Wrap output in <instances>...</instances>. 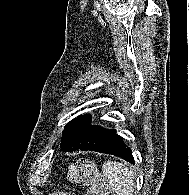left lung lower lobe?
<instances>
[{"label":"left lung lower lobe","mask_w":189,"mask_h":195,"mask_svg":"<svg viewBox=\"0 0 189 195\" xmlns=\"http://www.w3.org/2000/svg\"><path fill=\"white\" fill-rule=\"evenodd\" d=\"M60 147L62 152L91 150L116 155L130 163H134L131 149L126 147L116 131L91 125V119L78 130L68 143Z\"/></svg>","instance_id":"1"}]
</instances>
